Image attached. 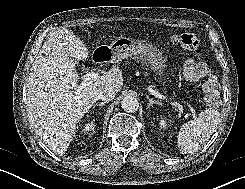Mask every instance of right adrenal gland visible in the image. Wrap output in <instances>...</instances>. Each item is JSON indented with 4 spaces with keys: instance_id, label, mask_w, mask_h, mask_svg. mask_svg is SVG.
Masks as SVG:
<instances>
[{
    "instance_id": "1",
    "label": "right adrenal gland",
    "mask_w": 245,
    "mask_h": 189,
    "mask_svg": "<svg viewBox=\"0 0 245 189\" xmlns=\"http://www.w3.org/2000/svg\"><path fill=\"white\" fill-rule=\"evenodd\" d=\"M107 102H100V103H96L93 105L92 109H94L96 106L102 107L103 105H105Z\"/></svg>"
}]
</instances>
